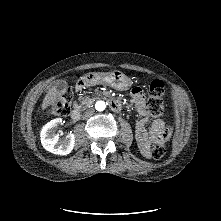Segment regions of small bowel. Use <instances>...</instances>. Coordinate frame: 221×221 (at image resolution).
<instances>
[{"mask_svg":"<svg viewBox=\"0 0 221 221\" xmlns=\"http://www.w3.org/2000/svg\"><path fill=\"white\" fill-rule=\"evenodd\" d=\"M131 93L132 102L139 115L135 129L136 139L142 154L149 157L150 145L164 143L170 136V130L163 120L156 119L149 123L144 92L141 87H134Z\"/></svg>","mask_w":221,"mask_h":221,"instance_id":"small-bowel-1","label":"small bowel"}]
</instances>
